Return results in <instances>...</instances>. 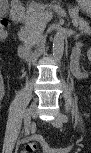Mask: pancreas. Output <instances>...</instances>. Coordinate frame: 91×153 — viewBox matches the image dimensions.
Returning a JSON list of instances; mask_svg holds the SVG:
<instances>
[{
	"label": "pancreas",
	"mask_w": 91,
	"mask_h": 153,
	"mask_svg": "<svg viewBox=\"0 0 91 153\" xmlns=\"http://www.w3.org/2000/svg\"><path fill=\"white\" fill-rule=\"evenodd\" d=\"M70 16L72 18L73 24H77L80 30H83L85 33L90 32L88 23L84 22L82 18L78 16V12L74 9L70 10ZM44 8L35 7V10L29 13L25 19V26L21 29L22 40L32 45L34 44L36 37L42 30L44 24Z\"/></svg>",
	"instance_id": "cf45deb5"
}]
</instances>
